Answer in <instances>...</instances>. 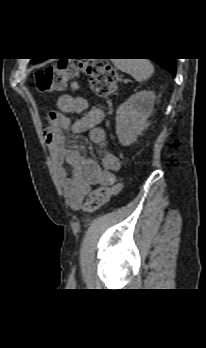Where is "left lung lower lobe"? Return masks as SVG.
<instances>
[{
  "label": "left lung lower lobe",
  "instance_id": "1",
  "mask_svg": "<svg viewBox=\"0 0 206 348\" xmlns=\"http://www.w3.org/2000/svg\"><path fill=\"white\" fill-rule=\"evenodd\" d=\"M160 66H162L164 69H166L168 72H170L173 76L176 72V65H175V58H158V59H151Z\"/></svg>",
  "mask_w": 206,
  "mask_h": 348
}]
</instances>
